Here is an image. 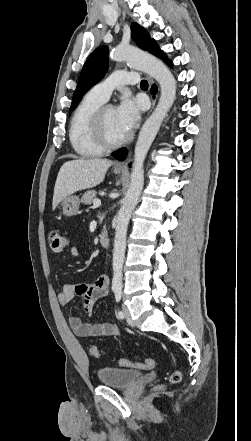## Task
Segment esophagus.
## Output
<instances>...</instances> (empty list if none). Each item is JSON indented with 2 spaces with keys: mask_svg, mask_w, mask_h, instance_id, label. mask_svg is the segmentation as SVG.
I'll return each instance as SVG.
<instances>
[{
  "mask_svg": "<svg viewBox=\"0 0 251 441\" xmlns=\"http://www.w3.org/2000/svg\"><path fill=\"white\" fill-rule=\"evenodd\" d=\"M149 82H150V84L153 83V80H152L150 77H149ZM154 105H155V102L153 101V102H152L151 109H150L148 115L150 114V112H151L152 109L154 108ZM129 156H130V154H129ZM129 156H128V158H127L126 160L121 161V162H118V163L115 165V167L118 168V169H126V168H127L128 161H129Z\"/></svg>",
  "mask_w": 251,
  "mask_h": 441,
  "instance_id": "esophagus-1",
  "label": "esophagus"
}]
</instances>
